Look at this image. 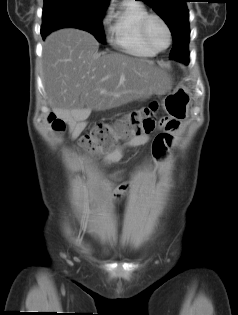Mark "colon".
<instances>
[{
  "label": "colon",
  "instance_id": "colon-1",
  "mask_svg": "<svg viewBox=\"0 0 238 315\" xmlns=\"http://www.w3.org/2000/svg\"><path fill=\"white\" fill-rule=\"evenodd\" d=\"M158 106H150L132 111L114 124L97 123L80 140L81 148L90 155L108 150L119 140H130L136 136L149 134L162 125L163 119L157 117ZM49 123L55 131H63L65 123L54 115L49 116Z\"/></svg>",
  "mask_w": 238,
  "mask_h": 315
}]
</instances>
